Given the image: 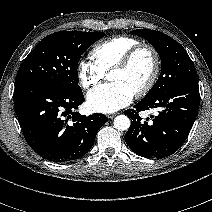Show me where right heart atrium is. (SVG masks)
Wrapping results in <instances>:
<instances>
[{"mask_svg":"<svg viewBox=\"0 0 212 212\" xmlns=\"http://www.w3.org/2000/svg\"><path fill=\"white\" fill-rule=\"evenodd\" d=\"M76 73L80 85L84 89L95 86L99 81L104 78L105 72L89 58H82L78 61Z\"/></svg>","mask_w":212,"mask_h":212,"instance_id":"right-heart-atrium-1","label":"right heart atrium"}]
</instances>
